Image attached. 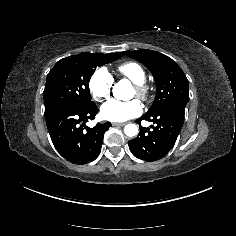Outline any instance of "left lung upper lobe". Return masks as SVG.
<instances>
[{
    "label": "left lung upper lobe",
    "mask_w": 236,
    "mask_h": 236,
    "mask_svg": "<svg viewBox=\"0 0 236 236\" xmlns=\"http://www.w3.org/2000/svg\"><path fill=\"white\" fill-rule=\"evenodd\" d=\"M125 54L143 63L152 73L156 83V97L146 114H152L172 103L189 100V82L178 64L156 51L142 49Z\"/></svg>",
    "instance_id": "obj_1"
}]
</instances>
